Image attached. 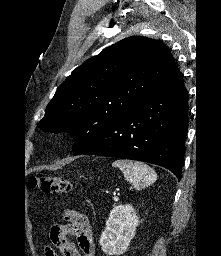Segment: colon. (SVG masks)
<instances>
[{"label":"colon","mask_w":221,"mask_h":256,"mask_svg":"<svg viewBox=\"0 0 221 256\" xmlns=\"http://www.w3.org/2000/svg\"><path fill=\"white\" fill-rule=\"evenodd\" d=\"M30 186L38 188L47 194L67 193L71 190V183L62 177L57 176H35L30 178Z\"/></svg>","instance_id":"colon-1"}]
</instances>
